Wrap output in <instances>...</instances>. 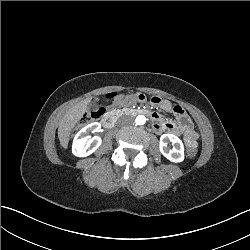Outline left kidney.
<instances>
[{"label":"left kidney","instance_id":"obj_1","mask_svg":"<svg viewBox=\"0 0 250 250\" xmlns=\"http://www.w3.org/2000/svg\"><path fill=\"white\" fill-rule=\"evenodd\" d=\"M174 145L173 150L167 148L168 143ZM160 151L161 153L173 162H180L184 157V148L181 140L173 134H163L160 138Z\"/></svg>","mask_w":250,"mask_h":250}]
</instances>
